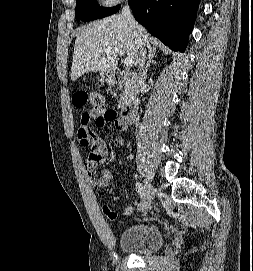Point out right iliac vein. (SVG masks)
<instances>
[{
    "instance_id": "1",
    "label": "right iliac vein",
    "mask_w": 253,
    "mask_h": 271,
    "mask_svg": "<svg viewBox=\"0 0 253 271\" xmlns=\"http://www.w3.org/2000/svg\"><path fill=\"white\" fill-rule=\"evenodd\" d=\"M153 187L152 185L146 181L145 186H144V195H143V200L140 204V209L142 211H147L151 207L152 199H153Z\"/></svg>"
}]
</instances>
